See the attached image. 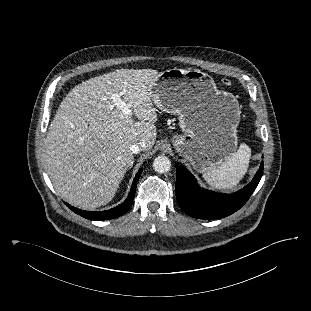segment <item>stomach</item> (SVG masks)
I'll return each mask as SVG.
<instances>
[{"instance_id":"obj_1","label":"stomach","mask_w":311,"mask_h":311,"mask_svg":"<svg viewBox=\"0 0 311 311\" xmlns=\"http://www.w3.org/2000/svg\"><path fill=\"white\" fill-rule=\"evenodd\" d=\"M150 92L159 109L179 116L184 134L174 136L172 143L197 172L221 166L236 152L239 103L218 90L208 74L168 69L152 80Z\"/></svg>"}]
</instances>
